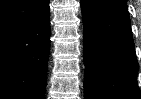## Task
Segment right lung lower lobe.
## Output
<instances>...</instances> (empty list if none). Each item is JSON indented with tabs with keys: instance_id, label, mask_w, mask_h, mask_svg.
<instances>
[{
	"instance_id": "right-lung-lower-lobe-1",
	"label": "right lung lower lobe",
	"mask_w": 141,
	"mask_h": 99,
	"mask_svg": "<svg viewBox=\"0 0 141 99\" xmlns=\"http://www.w3.org/2000/svg\"><path fill=\"white\" fill-rule=\"evenodd\" d=\"M49 49V0L0 4V99H44Z\"/></svg>"
}]
</instances>
